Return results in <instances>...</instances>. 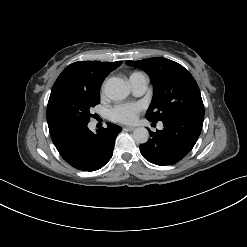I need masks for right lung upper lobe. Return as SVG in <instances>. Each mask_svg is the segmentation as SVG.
Wrapping results in <instances>:
<instances>
[{
	"mask_svg": "<svg viewBox=\"0 0 247 247\" xmlns=\"http://www.w3.org/2000/svg\"><path fill=\"white\" fill-rule=\"evenodd\" d=\"M119 62L78 61L67 66L55 81L52 92L70 86L85 90L100 91L108 74L121 65Z\"/></svg>",
	"mask_w": 247,
	"mask_h": 247,
	"instance_id": "right-lung-upper-lobe-1",
	"label": "right lung upper lobe"
}]
</instances>
